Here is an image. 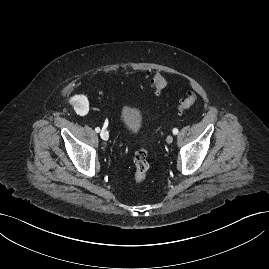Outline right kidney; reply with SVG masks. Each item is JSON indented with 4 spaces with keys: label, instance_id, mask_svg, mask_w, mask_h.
Instances as JSON below:
<instances>
[{
    "label": "right kidney",
    "instance_id": "obj_1",
    "mask_svg": "<svg viewBox=\"0 0 269 269\" xmlns=\"http://www.w3.org/2000/svg\"><path fill=\"white\" fill-rule=\"evenodd\" d=\"M70 102L80 114H86L89 110V102L85 95H75L70 99Z\"/></svg>",
    "mask_w": 269,
    "mask_h": 269
}]
</instances>
